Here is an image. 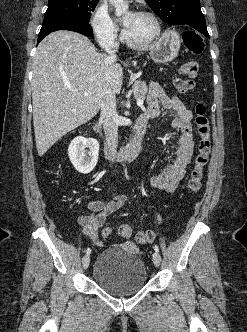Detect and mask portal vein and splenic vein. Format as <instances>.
I'll use <instances>...</instances> for the list:
<instances>
[{
  "label": "portal vein and splenic vein",
  "instance_id": "obj_1",
  "mask_svg": "<svg viewBox=\"0 0 247 332\" xmlns=\"http://www.w3.org/2000/svg\"><path fill=\"white\" fill-rule=\"evenodd\" d=\"M83 95L87 96L88 93H87V92H84ZM143 103H144L143 99H138V100H137V105H138L139 107H143Z\"/></svg>",
  "mask_w": 247,
  "mask_h": 332
}]
</instances>
